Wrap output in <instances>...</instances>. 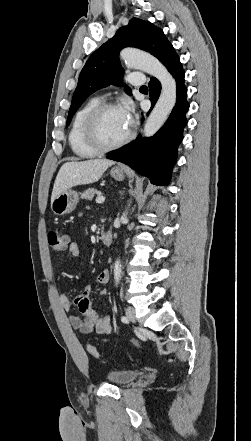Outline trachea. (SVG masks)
I'll use <instances>...</instances> for the list:
<instances>
[{"instance_id":"obj_1","label":"trachea","mask_w":251,"mask_h":441,"mask_svg":"<svg viewBox=\"0 0 251 441\" xmlns=\"http://www.w3.org/2000/svg\"><path fill=\"white\" fill-rule=\"evenodd\" d=\"M141 89H147V86L143 85L141 86Z\"/></svg>"}]
</instances>
